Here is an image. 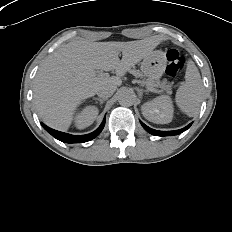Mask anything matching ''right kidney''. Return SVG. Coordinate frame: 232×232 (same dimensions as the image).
<instances>
[{
    "mask_svg": "<svg viewBox=\"0 0 232 232\" xmlns=\"http://www.w3.org/2000/svg\"><path fill=\"white\" fill-rule=\"evenodd\" d=\"M98 113L99 109L96 106L89 105L81 110L74 108L71 112V118L76 128L83 129L94 122Z\"/></svg>",
    "mask_w": 232,
    "mask_h": 232,
    "instance_id": "right-kidney-1",
    "label": "right kidney"
}]
</instances>
